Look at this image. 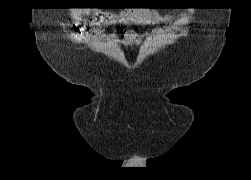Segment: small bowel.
Segmentation results:
<instances>
[{"label": "small bowel", "instance_id": "c3829d8e", "mask_svg": "<svg viewBox=\"0 0 251 180\" xmlns=\"http://www.w3.org/2000/svg\"><path fill=\"white\" fill-rule=\"evenodd\" d=\"M94 15L96 17V23L101 26L118 23L129 25H149L171 20L169 15L163 16L157 11L147 10H131L119 14L111 11H97ZM139 40L140 36L133 30L127 31L123 36L124 45H132Z\"/></svg>", "mask_w": 251, "mask_h": 180}]
</instances>
